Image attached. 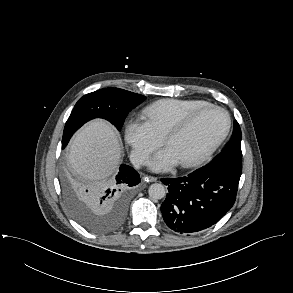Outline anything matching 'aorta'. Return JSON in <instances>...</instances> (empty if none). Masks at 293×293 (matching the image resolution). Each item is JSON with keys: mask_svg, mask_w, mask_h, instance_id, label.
<instances>
[{"mask_svg": "<svg viewBox=\"0 0 293 293\" xmlns=\"http://www.w3.org/2000/svg\"><path fill=\"white\" fill-rule=\"evenodd\" d=\"M148 193L153 200H160L165 197L166 190L164 185L160 183H154L149 187Z\"/></svg>", "mask_w": 293, "mask_h": 293, "instance_id": "1", "label": "aorta"}]
</instances>
